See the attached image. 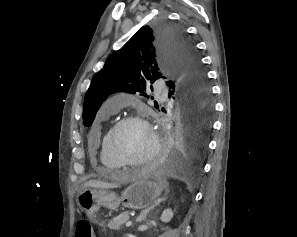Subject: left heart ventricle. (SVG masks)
I'll use <instances>...</instances> for the list:
<instances>
[{
	"instance_id": "b2bd125f",
	"label": "left heart ventricle",
	"mask_w": 297,
	"mask_h": 237,
	"mask_svg": "<svg viewBox=\"0 0 297 237\" xmlns=\"http://www.w3.org/2000/svg\"><path fill=\"white\" fill-rule=\"evenodd\" d=\"M113 145L124 159L136 161L149 154L152 140L144 125L130 122L122 125L115 132Z\"/></svg>"
}]
</instances>
